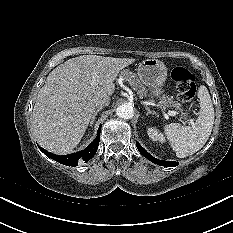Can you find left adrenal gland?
I'll list each match as a JSON object with an SVG mask.
<instances>
[{
    "instance_id": "a2214340",
    "label": "left adrenal gland",
    "mask_w": 233,
    "mask_h": 233,
    "mask_svg": "<svg viewBox=\"0 0 233 233\" xmlns=\"http://www.w3.org/2000/svg\"><path fill=\"white\" fill-rule=\"evenodd\" d=\"M146 108V110H147V113H146V115L148 116V115H150V114H152V115H155V116H157L158 117V114L153 110H150V108L149 107H145Z\"/></svg>"
}]
</instances>
